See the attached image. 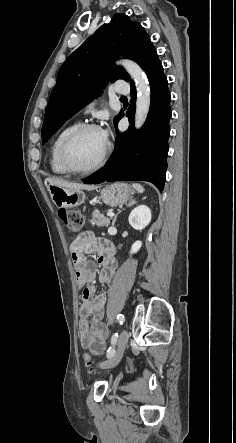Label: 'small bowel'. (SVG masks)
Returning <instances> with one entry per match:
<instances>
[{
    "label": "small bowel",
    "mask_w": 236,
    "mask_h": 443,
    "mask_svg": "<svg viewBox=\"0 0 236 443\" xmlns=\"http://www.w3.org/2000/svg\"><path fill=\"white\" fill-rule=\"evenodd\" d=\"M71 249L76 266V283L79 288L84 287L79 306L80 343L94 355H99L105 349L108 335V329L103 322L107 297L105 293H95V287L92 285L97 275L95 264L84 254L90 251L97 252V261L101 266L98 272L99 281L102 284H109L117 268L114 248L110 242L98 239L92 233L86 232L72 241Z\"/></svg>",
    "instance_id": "c3829d8e"
}]
</instances>
